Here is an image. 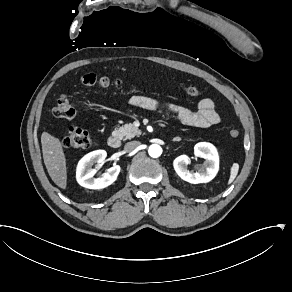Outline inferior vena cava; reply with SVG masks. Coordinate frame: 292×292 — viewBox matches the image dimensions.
I'll use <instances>...</instances> for the list:
<instances>
[{
    "label": "inferior vena cava",
    "mask_w": 292,
    "mask_h": 292,
    "mask_svg": "<svg viewBox=\"0 0 292 292\" xmlns=\"http://www.w3.org/2000/svg\"><path fill=\"white\" fill-rule=\"evenodd\" d=\"M141 145V143L139 141H131L125 144V151L127 152H131L134 149H136L137 147H139Z\"/></svg>",
    "instance_id": "obj_1"
}]
</instances>
